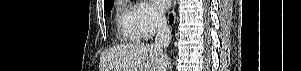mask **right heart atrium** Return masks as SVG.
<instances>
[{
	"mask_svg": "<svg viewBox=\"0 0 301 71\" xmlns=\"http://www.w3.org/2000/svg\"><path fill=\"white\" fill-rule=\"evenodd\" d=\"M131 17L141 38H151L164 25V15L148 1H139L131 9Z\"/></svg>",
	"mask_w": 301,
	"mask_h": 71,
	"instance_id": "obj_1",
	"label": "right heart atrium"
}]
</instances>
